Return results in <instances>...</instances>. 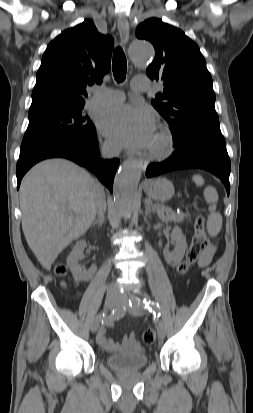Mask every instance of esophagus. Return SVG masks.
Returning <instances> with one entry per match:
<instances>
[{"instance_id":"34e87169","label":"esophagus","mask_w":253,"mask_h":413,"mask_svg":"<svg viewBox=\"0 0 253 413\" xmlns=\"http://www.w3.org/2000/svg\"><path fill=\"white\" fill-rule=\"evenodd\" d=\"M117 25L120 33L121 43L123 45V48L125 49L129 39V26L126 17L123 15L119 16L117 20ZM139 162L141 164L142 169L145 170L148 165V161L140 159Z\"/></svg>"}]
</instances>
